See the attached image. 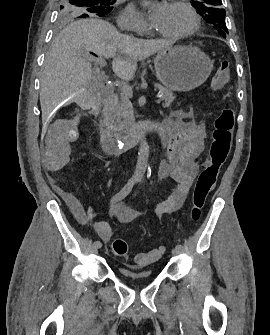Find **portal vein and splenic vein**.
Listing matches in <instances>:
<instances>
[{"label":"portal vein and splenic vein","mask_w":270,"mask_h":335,"mask_svg":"<svg viewBox=\"0 0 270 335\" xmlns=\"http://www.w3.org/2000/svg\"><path fill=\"white\" fill-rule=\"evenodd\" d=\"M103 58H104V55L100 54L99 58L97 59V62L101 66V69H105V65H106V62L104 61ZM119 92L120 93H127L128 95H131V96H129V99H132V96H134V93H133V90H132L131 86H120L119 87ZM160 98H161V94H159L158 98L155 101L157 104H159L161 102Z\"/></svg>","instance_id":"obj_1"}]
</instances>
